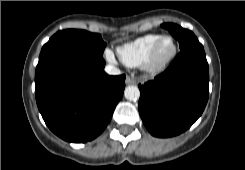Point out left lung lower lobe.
Wrapping results in <instances>:
<instances>
[{
    "label": "left lung lower lobe",
    "mask_w": 245,
    "mask_h": 170,
    "mask_svg": "<svg viewBox=\"0 0 245 170\" xmlns=\"http://www.w3.org/2000/svg\"><path fill=\"white\" fill-rule=\"evenodd\" d=\"M205 54L181 51L168 69L139 85V113L156 137L179 135L201 116L209 96Z\"/></svg>",
    "instance_id": "left-lung-lower-lobe-1"
}]
</instances>
